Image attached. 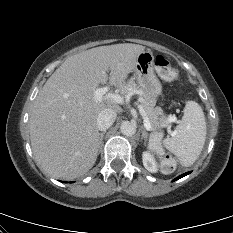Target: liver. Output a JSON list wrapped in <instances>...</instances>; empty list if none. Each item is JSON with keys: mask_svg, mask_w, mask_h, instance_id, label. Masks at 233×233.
Returning a JSON list of instances; mask_svg holds the SVG:
<instances>
[{"mask_svg": "<svg viewBox=\"0 0 233 233\" xmlns=\"http://www.w3.org/2000/svg\"><path fill=\"white\" fill-rule=\"evenodd\" d=\"M144 51L132 43L92 48L68 57L46 81L34 101L29 129L35 157L53 177L72 180L93 167L100 146L99 113L122 111L106 96L96 102L94 91L108 80L123 88Z\"/></svg>", "mask_w": 233, "mask_h": 233, "instance_id": "1", "label": "liver"}]
</instances>
